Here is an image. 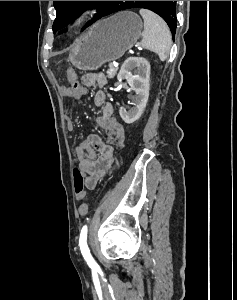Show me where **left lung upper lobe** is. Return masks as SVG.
<instances>
[{"instance_id":"obj_1","label":"left lung upper lobe","mask_w":237,"mask_h":300,"mask_svg":"<svg viewBox=\"0 0 237 300\" xmlns=\"http://www.w3.org/2000/svg\"><path fill=\"white\" fill-rule=\"evenodd\" d=\"M114 1H54L57 11L56 19L53 23V32L67 26L73 17L78 15L84 8L98 7L100 10L96 18L88 23L83 29L103 16L109 15V8ZM131 8L149 9L161 16L168 24L173 36L176 32V1H121L119 10Z\"/></svg>"}]
</instances>
